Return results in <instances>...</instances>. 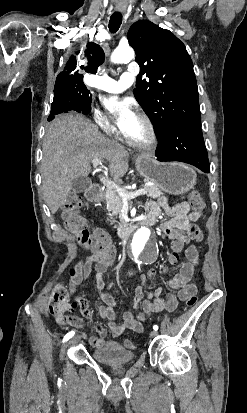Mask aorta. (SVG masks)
Returning <instances> with one entry per match:
<instances>
[{
	"label": "aorta",
	"instance_id": "obj_1",
	"mask_svg": "<svg viewBox=\"0 0 247 413\" xmlns=\"http://www.w3.org/2000/svg\"><path fill=\"white\" fill-rule=\"evenodd\" d=\"M133 57H134V50L131 47L129 46L118 47L112 53L111 61L115 64L128 63ZM137 236L139 237V240L142 243V241L144 242V239H147V237L149 236V230L147 228H141ZM139 252H140V249L138 250L137 254Z\"/></svg>",
	"mask_w": 247,
	"mask_h": 413
}]
</instances>
